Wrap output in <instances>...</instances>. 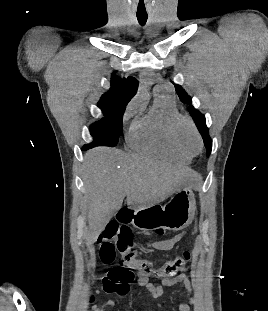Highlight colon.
Wrapping results in <instances>:
<instances>
[{"instance_id":"5ec220e1","label":"colon","mask_w":268,"mask_h":311,"mask_svg":"<svg viewBox=\"0 0 268 311\" xmlns=\"http://www.w3.org/2000/svg\"><path fill=\"white\" fill-rule=\"evenodd\" d=\"M98 244L103 263L112 264L117 261V266L110 269L103 277V289L106 292H117L122 295L129 291V284L135 278L134 266L146 274L172 278L185 270L190 260V253L185 251L173 259L166 260L159 269H154L149 260L137 258V253L133 249L135 236L130 228L112 222L99 235Z\"/></svg>"}]
</instances>
